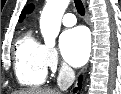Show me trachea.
I'll return each instance as SVG.
<instances>
[{
  "label": "trachea",
  "mask_w": 121,
  "mask_h": 94,
  "mask_svg": "<svg viewBox=\"0 0 121 94\" xmlns=\"http://www.w3.org/2000/svg\"><path fill=\"white\" fill-rule=\"evenodd\" d=\"M75 3V7L77 9V12L81 15L84 16L85 15V8L83 6V3L81 0H74Z\"/></svg>",
  "instance_id": "trachea-1"
}]
</instances>
